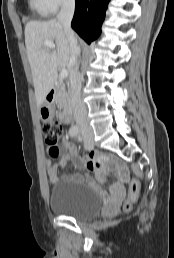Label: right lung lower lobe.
<instances>
[{"label": "right lung lower lobe", "mask_w": 174, "mask_h": 258, "mask_svg": "<svg viewBox=\"0 0 174 258\" xmlns=\"http://www.w3.org/2000/svg\"><path fill=\"white\" fill-rule=\"evenodd\" d=\"M76 10L72 28L88 43L94 41L101 32L105 11L110 0H75Z\"/></svg>", "instance_id": "98d812e1"}]
</instances>
